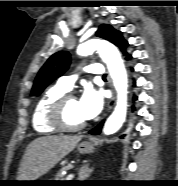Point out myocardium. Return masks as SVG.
Wrapping results in <instances>:
<instances>
[{
	"label": "myocardium",
	"instance_id": "f54148a6",
	"mask_svg": "<svg viewBox=\"0 0 178 186\" xmlns=\"http://www.w3.org/2000/svg\"><path fill=\"white\" fill-rule=\"evenodd\" d=\"M74 97V94L66 92L55 99L49 107L47 119L49 123L59 131L75 132L84 129L87 126L86 121L77 125H70L65 121L64 113L66 105L68 101Z\"/></svg>",
	"mask_w": 178,
	"mask_h": 186
}]
</instances>
